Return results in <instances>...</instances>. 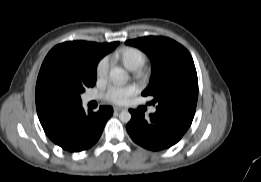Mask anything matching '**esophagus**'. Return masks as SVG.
Instances as JSON below:
<instances>
[{"mask_svg":"<svg viewBox=\"0 0 261 182\" xmlns=\"http://www.w3.org/2000/svg\"><path fill=\"white\" fill-rule=\"evenodd\" d=\"M122 110H124V108H122V107H114V112H120V111H122Z\"/></svg>","mask_w":261,"mask_h":182,"instance_id":"esophagus-1","label":"esophagus"}]
</instances>
